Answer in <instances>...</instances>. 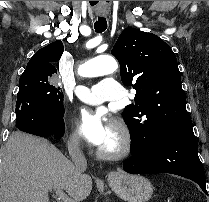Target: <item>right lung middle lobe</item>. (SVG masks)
I'll return each instance as SVG.
<instances>
[{
  "instance_id": "dd1d6c3e",
  "label": "right lung middle lobe",
  "mask_w": 209,
  "mask_h": 202,
  "mask_svg": "<svg viewBox=\"0 0 209 202\" xmlns=\"http://www.w3.org/2000/svg\"><path fill=\"white\" fill-rule=\"evenodd\" d=\"M50 77L51 74L44 73L20 77L16 115L30 108L52 116L64 115L63 96L60 87L51 84L49 82Z\"/></svg>"
}]
</instances>
